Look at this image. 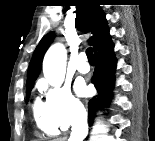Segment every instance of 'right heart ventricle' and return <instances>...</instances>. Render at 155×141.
I'll return each mask as SVG.
<instances>
[{
    "instance_id": "e07e8e85",
    "label": "right heart ventricle",
    "mask_w": 155,
    "mask_h": 141,
    "mask_svg": "<svg viewBox=\"0 0 155 141\" xmlns=\"http://www.w3.org/2000/svg\"><path fill=\"white\" fill-rule=\"evenodd\" d=\"M34 119L37 127L47 135H57L59 127L53 120L48 107L40 100H36L33 105Z\"/></svg>"
}]
</instances>
